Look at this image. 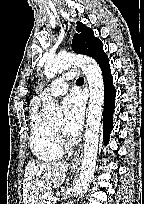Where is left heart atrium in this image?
Segmentation results:
<instances>
[{
  "instance_id": "left-heart-atrium-1",
  "label": "left heart atrium",
  "mask_w": 144,
  "mask_h": 204,
  "mask_svg": "<svg viewBox=\"0 0 144 204\" xmlns=\"http://www.w3.org/2000/svg\"><path fill=\"white\" fill-rule=\"evenodd\" d=\"M64 112L63 131L68 137H75L83 126L84 103L77 94L66 97L62 103Z\"/></svg>"
}]
</instances>
